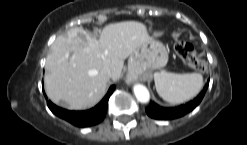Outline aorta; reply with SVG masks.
<instances>
[{
    "mask_svg": "<svg viewBox=\"0 0 247 145\" xmlns=\"http://www.w3.org/2000/svg\"><path fill=\"white\" fill-rule=\"evenodd\" d=\"M133 91L137 100L141 103H147L150 100V93L148 89L142 84H136Z\"/></svg>",
    "mask_w": 247,
    "mask_h": 145,
    "instance_id": "aorta-1",
    "label": "aorta"
}]
</instances>
